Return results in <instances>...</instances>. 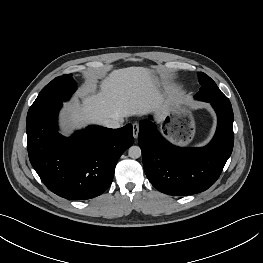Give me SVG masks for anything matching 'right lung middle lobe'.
<instances>
[{
	"label": "right lung middle lobe",
	"mask_w": 263,
	"mask_h": 263,
	"mask_svg": "<svg viewBox=\"0 0 263 263\" xmlns=\"http://www.w3.org/2000/svg\"><path fill=\"white\" fill-rule=\"evenodd\" d=\"M76 90V82L71 74H65L53 79L46 85L38 97L31 105L27 119L45 111L56 103H62L69 100L70 96Z\"/></svg>",
	"instance_id": "right-lung-middle-lobe-1"
}]
</instances>
